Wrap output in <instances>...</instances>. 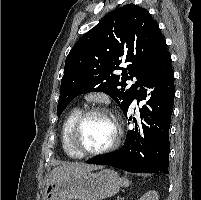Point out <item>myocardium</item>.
<instances>
[{
	"mask_svg": "<svg viewBox=\"0 0 201 200\" xmlns=\"http://www.w3.org/2000/svg\"><path fill=\"white\" fill-rule=\"evenodd\" d=\"M92 115H103L110 118L114 124V136L112 141L105 147L94 151H85L79 147L77 136L82 123ZM120 139H121V127L118 118L113 112L102 106H92L81 111V113L78 115V117L72 124L68 136L70 147L79 158L93 157L109 153L119 145Z\"/></svg>",
	"mask_w": 201,
	"mask_h": 200,
	"instance_id": "1",
	"label": "myocardium"
}]
</instances>
